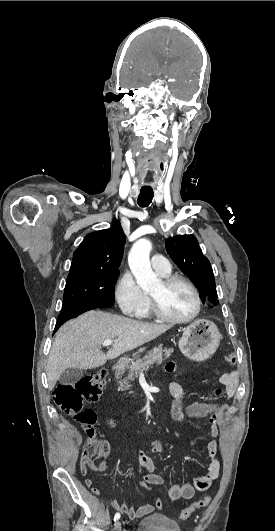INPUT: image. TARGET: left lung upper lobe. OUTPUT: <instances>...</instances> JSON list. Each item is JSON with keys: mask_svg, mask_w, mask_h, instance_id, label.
Instances as JSON below:
<instances>
[{"mask_svg": "<svg viewBox=\"0 0 275 531\" xmlns=\"http://www.w3.org/2000/svg\"><path fill=\"white\" fill-rule=\"evenodd\" d=\"M166 250L179 269L186 274L200 291L203 303H219L215 278L209 260L203 255L193 235H178L166 240Z\"/></svg>", "mask_w": 275, "mask_h": 531, "instance_id": "5c2ea615", "label": "left lung upper lobe"}]
</instances>
